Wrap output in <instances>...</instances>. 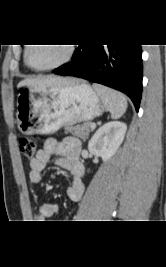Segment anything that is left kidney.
<instances>
[{
	"mask_svg": "<svg viewBox=\"0 0 166 267\" xmlns=\"http://www.w3.org/2000/svg\"><path fill=\"white\" fill-rule=\"evenodd\" d=\"M127 126L123 122L113 121L101 126L88 143V150L108 161L124 140Z\"/></svg>",
	"mask_w": 166,
	"mask_h": 267,
	"instance_id": "obj_1",
	"label": "left kidney"
}]
</instances>
